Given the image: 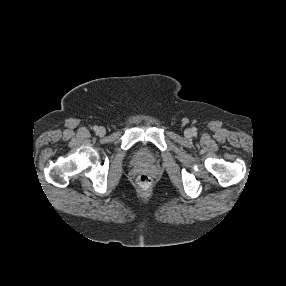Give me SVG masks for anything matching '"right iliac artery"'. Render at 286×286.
I'll list each match as a JSON object with an SVG mask.
<instances>
[{
	"label": "right iliac artery",
	"instance_id": "right-iliac-artery-1",
	"mask_svg": "<svg viewBox=\"0 0 286 286\" xmlns=\"http://www.w3.org/2000/svg\"><path fill=\"white\" fill-rule=\"evenodd\" d=\"M93 130H94V131H97V130H98V126H94V127H93Z\"/></svg>",
	"mask_w": 286,
	"mask_h": 286
}]
</instances>
